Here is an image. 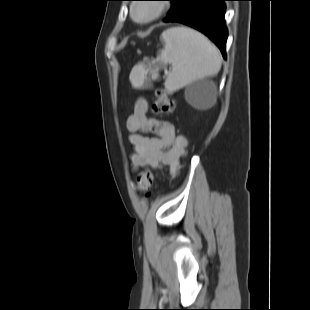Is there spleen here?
I'll list each match as a JSON object with an SVG mask.
<instances>
[{
  "label": "spleen",
  "mask_w": 310,
  "mask_h": 310,
  "mask_svg": "<svg viewBox=\"0 0 310 310\" xmlns=\"http://www.w3.org/2000/svg\"><path fill=\"white\" fill-rule=\"evenodd\" d=\"M164 44L154 60L136 65L130 73L134 88H142L147 82L148 68L153 77L159 66L171 64L172 69L164 83L168 92H174L198 79L215 76L221 68V54L217 47L200 32L188 27H173L161 35Z\"/></svg>",
  "instance_id": "3e777b00"
}]
</instances>
